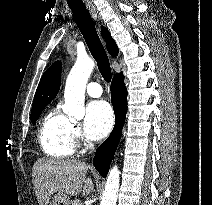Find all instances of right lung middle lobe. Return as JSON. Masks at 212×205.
I'll return each mask as SVG.
<instances>
[{
    "mask_svg": "<svg viewBox=\"0 0 212 205\" xmlns=\"http://www.w3.org/2000/svg\"><path fill=\"white\" fill-rule=\"evenodd\" d=\"M46 105H39V106H35L32 107L31 110V121L33 124H35V122L37 121V119L39 118L41 111L45 108Z\"/></svg>",
    "mask_w": 212,
    "mask_h": 205,
    "instance_id": "obj_1",
    "label": "right lung middle lobe"
}]
</instances>
